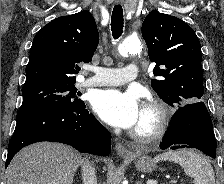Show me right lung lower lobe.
<instances>
[{"mask_svg": "<svg viewBox=\"0 0 224 184\" xmlns=\"http://www.w3.org/2000/svg\"><path fill=\"white\" fill-rule=\"evenodd\" d=\"M40 141L60 142L100 156L111 152V134L89 113L85 103L75 108L36 109L17 119L5 168L20 149Z\"/></svg>", "mask_w": 224, "mask_h": 184, "instance_id": "right-lung-lower-lobe-1", "label": "right lung lower lobe"}]
</instances>
